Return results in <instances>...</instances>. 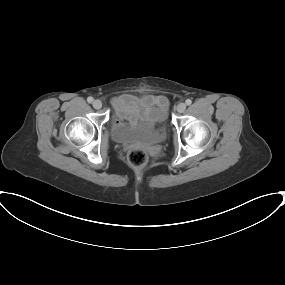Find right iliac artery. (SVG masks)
I'll return each instance as SVG.
<instances>
[{"label": "right iliac artery", "mask_w": 285, "mask_h": 285, "mask_svg": "<svg viewBox=\"0 0 285 285\" xmlns=\"http://www.w3.org/2000/svg\"><path fill=\"white\" fill-rule=\"evenodd\" d=\"M87 101H88L89 103H92V102H93V98H92V97H88V98H87Z\"/></svg>", "instance_id": "right-iliac-artery-1"}]
</instances>
